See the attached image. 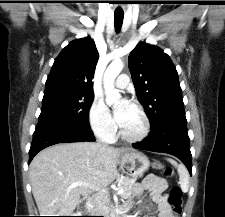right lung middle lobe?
<instances>
[{
    "mask_svg": "<svg viewBox=\"0 0 225 217\" xmlns=\"http://www.w3.org/2000/svg\"><path fill=\"white\" fill-rule=\"evenodd\" d=\"M94 94L66 91L44 93L40 116H52L69 121L85 123Z\"/></svg>",
    "mask_w": 225,
    "mask_h": 217,
    "instance_id": "dd1d6c3e",
    "label": "right lung middle lobe"
}]
</instances>
